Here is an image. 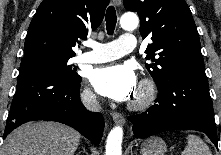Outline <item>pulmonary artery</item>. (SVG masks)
Segmentation results:
<instances>
[{"label":"pulmonary artery","mask_w":221,"mask_h":155,"mask_svg":"<svg viewBox=\"0 0 221 155\" xmlns=\"http://www.w3.org/2000/svg\"><path fill=\"white\" fill-rule=\"evenodd\" d=\"M87 45L92 49L78 57L83 63H102L122 57L132 52L136 47L133 34H123L117 40L108 43L89 41Z\"/></svg>","instance_id":"1"}]
</instances>
